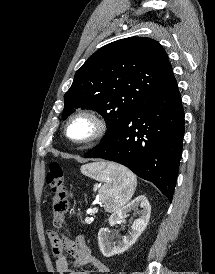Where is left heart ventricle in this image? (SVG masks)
<instances>
[{
    "label": "left heart ventricle",
    "instance_id": "b2bd125f",
    "mask_svg": "<svg viewBox=\"0 0 215 274\" xmlns=\"http://www.w3.org/2000/svg\"><path fill=\"white\" fill-rule=\"evenodd\" d=\"M92 131L93 126L91 122L84 118L73 121L68 129L69 136L76 140L88 137Z\"/></svg>",
    "mask_w": 215,
    "mask_h": 274
}]
</instances>
